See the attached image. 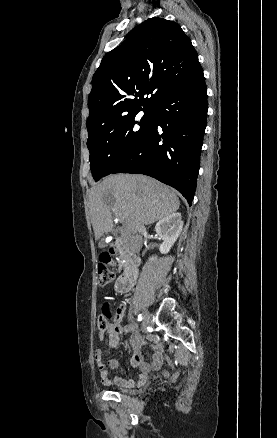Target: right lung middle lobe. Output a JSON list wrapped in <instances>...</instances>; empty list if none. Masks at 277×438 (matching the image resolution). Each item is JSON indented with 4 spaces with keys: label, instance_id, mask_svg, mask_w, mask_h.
<instances>
[{
    "label": "right lung middle lobe",
    "instance_id": "right-lung-middle-lobe-1",
    "mask_svg": "<svg viewBox=\"0 0 277 438\" xmlns=\"http://www.w3.org/2000/svg\"><path fill=\"white\" fill-rule=\"evenodd\" d=\"M143 111L144 115L137 114ZM152 110L140 109L88 127L87 147L93 178L97 181L115 171L140 143L150 128Z\"/></svg>",
    "mask_w": 277,
    "mask_h": 438
}]
</instances>
